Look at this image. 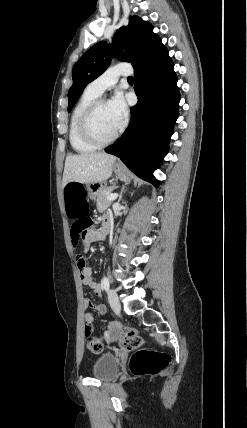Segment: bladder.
Returning a JSON list of instances; mask_svg holds the SVG:
<instances>
[{"mask_svg":"<svg viewBox=\"0 0 247 428\" xmlns=\"http://www.w3.org/2000/svg\"><path fill=\"white\" fill-rule=\"evenodd\" d=\"M118 372V360L112 353H102L95 360L92 375L100 381L112 380Z\"/></svg>","mask_w":247,"mask_h":428,"instance_id":"31cf9c89","label":"bladder"}]
</instances>
